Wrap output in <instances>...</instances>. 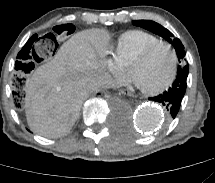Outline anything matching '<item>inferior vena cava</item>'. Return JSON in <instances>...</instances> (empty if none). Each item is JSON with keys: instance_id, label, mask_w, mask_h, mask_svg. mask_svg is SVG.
I'll list each match as a JSON object with an SVG mask.
<instances>
[{"instance_id": "inferior-vena-cava-1", "label": "inferior vena cava", "mask_w": 215, "mask_h": 183, "mask_svg": "<svg viewBox=\"0 0 215 183\" xmlns=\"http://www.w3.org/2000/svg\"><path fill=\"white\" fill-rule=\"evenodd\" d=\"M112 84V79L108 74H103L100 77L91 80L87 84V90L90 92L98 91L100 88L109 87Z\"/></svg>"}]
</instances>
